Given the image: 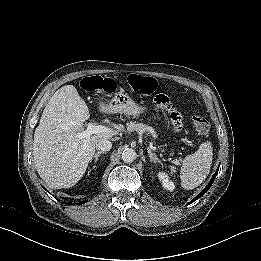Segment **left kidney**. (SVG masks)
I'll list each match as a JSON object with an SVG mask.
<instances>
[{"mask_svg": "<svg viewBox=\"0 0 261 261\" xmlns=\"http://www.w3.org/2000/svg\"><path fill=\"white\" fill-rule=\"evenodd\" d=\"M157 176L166 190L173 191L175 189L174 183L169 179L165 172H159Z\"/></svg>", "mask_w": 261, "mask_h": 261, "instance_id": "left-kidney-1", "label": "left kidney"}]
</instances>
